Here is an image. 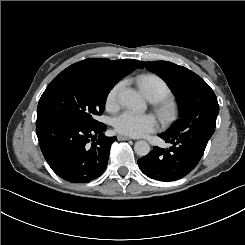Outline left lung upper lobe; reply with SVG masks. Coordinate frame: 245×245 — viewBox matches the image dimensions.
<instances>
[{"label": "left lung upper lobe", "instance_id": "obj_1", "mask_svg": "<svg viewBox=\"0 0 245 245\" xmlns=\"http://www.w3.org/2000/svg\"><path fill=\"white\" fill-rule=\"evenodd\" d=\"M143 64L167 83L177 99L180 119L167 131L184 128L187 121L205 111H212L218 115L219 105L213 90L197 74L167 61Z\"/></svg>", "mask_w": 245, "mask_h": 245}]
</instances>
